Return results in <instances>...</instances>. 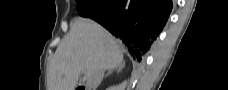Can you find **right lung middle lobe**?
I'll list each match as a JSON object with an SVG mask.
<instances>
[{
    "label": "right lung middle lobe",
    "instance_id": "1",
    "mask_svg": "<svg viewBox=\"0 0 228 90\" xmlns=\"http://www.w3.org/2000/svg\"><path fill=\"white\" fill-rule=\"evenodd\" d=\"M79 15L83 17H95L100 13L107 0H76Z\"/></svg>",
    "mask_w": 228,
    "mask_h": 90
}]
</instances>
